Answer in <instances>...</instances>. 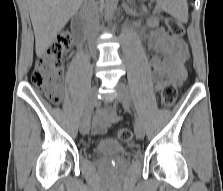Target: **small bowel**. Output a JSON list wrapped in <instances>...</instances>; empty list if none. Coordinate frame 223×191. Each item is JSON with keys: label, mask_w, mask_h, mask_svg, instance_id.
Listing matches in <instances>:
<instances>
[{"label": "small bowel", "mask_w": 223, "mask_h": 191, "mask_svg": "<svg viewBox=\"0 0 223 191\" xmlns=\"http://www.w3.org/2000/svg\"><path fill=\"white\" fill-rule=\"evenodd\" d=\"M147 46L155 55L149 65L153 72L155 90L160 91L167 81L181 85L186 77L185 62L189 58L186 43L158 28V21L150 19L145 27ZM120 119L114 106L100 107L92 118V133L104 134L112 123Z\"/></svg>", "instance_id": "1"}]
</instances>
